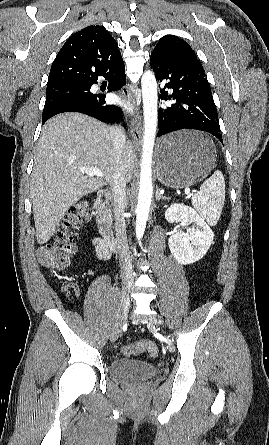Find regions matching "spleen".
<instances>
[{
	"label": "spleen",
	"mask_w": 269,
	"mask_h": 445,
	"mask_svg": "<svg viewBox=\"0 0 269 445\" xmlns=\"http://www.w3.org/2000/svg\"><path fill=\"white\" fill-rule=\"evenodd\" d=\"M225 201V181L221 171L216 170L213 175L200 186V191L192 197L195 210L215 226L221 216Z\"/></svg>",
	"instance_id": "1"
}]
</instances>
